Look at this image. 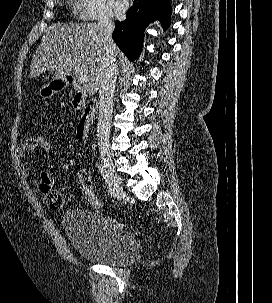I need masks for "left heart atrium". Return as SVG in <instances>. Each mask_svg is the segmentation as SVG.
<instances>
[{"mask_svg":"<svg viewBox=\"0 0 272 303\" xmlns=\"http://www.w3.org/2000/svg\"><path fill=\"white\" fill-rule=\"evenodd\" d=\"M128 8L127 0H115L113 4L114 13L117 16H122Z\"/></svg>","mask_w":272,"mask_h":303,"instance_id":"1","label":"left heart atrium"}]
</instances>
